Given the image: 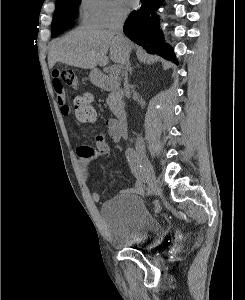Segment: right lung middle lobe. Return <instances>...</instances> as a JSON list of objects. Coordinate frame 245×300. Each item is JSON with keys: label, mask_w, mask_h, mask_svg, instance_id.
<instances>
[{"label": "right lung middle lobe", "mask_w": 245, "mask_h": 300, "mask_svg": "<svg viewBox=\"0 0 245 300\" xmlns=\"http://www.w3.org/2000/svg\"><path fill=\"white\" fill-rule=\"evenodd\" d=\"M81 0H57L55 13L52 21L51 35L56 37L59 35L62 28L70 23H73Z\"/></svg>", "instance_id": "right-lung-middle-lobe-1"}]
</instances>
